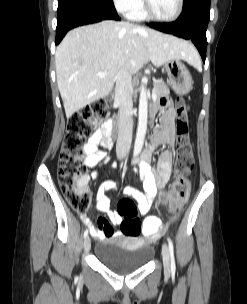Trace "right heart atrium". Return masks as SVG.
Listing matches in <instances>:
<instances>
[{"mask_svg": "<svg viewBox=\"0 0 247 304\" xmlns=\"http://www.w3.org/2000/svg\"><path fill=\"white\" fill-rule=\"evenodd\" d=\"M113 4L120 12L129 13L141 5V0H113Z\"/></svg>", "mask_w": 247, "mask_h": 304, "instance_id": "obj_1", "label": "right heart atrium"}]
</instances>
